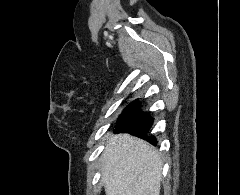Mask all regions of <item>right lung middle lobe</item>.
<instances>
[{
	"label": "right lung middle lobe",
	"instance_id": "1",
	"mask_svg": "<svg viewBox=\"0 0 240 195\" xmlns=\"http://www.w3.org/2000/svg\"><path fill=\"white\" fill-rule=\"evenodd\" d=\"M140 107V104L138 101H134L132 103H130L124 110V112L122 113V115L120 116L118 122L120 123L122 120H124L125 118H127L129 115H131L132 113H134L135 111H137Z\"/></svg>",
	"mask_w": 240,
	"mask_h": 195
}]
</instances>
